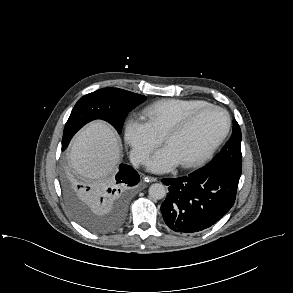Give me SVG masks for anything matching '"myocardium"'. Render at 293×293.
I'll use <instances>...</instances> for the list:
<instances>
[{
    "instance_id": "myocardium-1",
    "label": "myocardium",
    "mask_w": 293,
    "mask_h": 293,
    "mask_svg": "<svg viewBox=\"0 0 293 293\" xmlns=\"http://www.w3.org/2000/svg\"><path fill=\"white\" fill-rule=\"evenodd\" d=\"M209 109L218 110L225 115V118H226L225 128L223 132L220 134V136L203 153H201L199 156L187 162L180 163L181 167L183 168L189 169V168L197 167L203 164L205 161H207L215 153V151L226 139V137L228 136L230 132V129H231L230 114L228 113L226 109L220 106H217L214 104H206L186 114L182 119H180L179 121L171 125L163 135L164 142L167 144L171 137L184 132L198 115H200L202 112Z\"/></svg>"
}]
</instances>
